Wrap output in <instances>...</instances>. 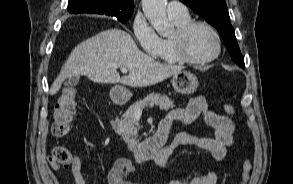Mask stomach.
I'll return each instance as SVG.
<instances>
[{"instance_id": "0dacf381", "label": "stomach", "mask_w": 293, "mask_h": 184, "mask_svg": "<svg viewBox=\"0 0 293 184\" xmlns=\"http://www.w3.org/2000/svg\"><path fill=\"white\" fill-rule=\"evenodd\" d=\"M171 82L174 90L183 95L194 93L199 85L196 75L189 71L174 74ZM110 97L116 103H124L131 97V92L123 86L116 85L111 89Z\"/></svg>"}]
</instances>
